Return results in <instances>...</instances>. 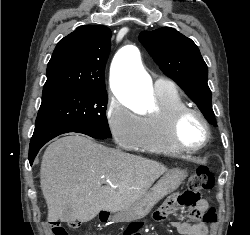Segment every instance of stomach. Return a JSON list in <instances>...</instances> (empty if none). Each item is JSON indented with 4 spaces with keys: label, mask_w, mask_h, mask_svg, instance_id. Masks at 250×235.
I'll return each mask as SVG.
<instances>
[{
    "label": "stomach",
    "mask_w": 250,
    "mask_h": 235,
    "mask_svg": "<svg viewBox=\"0 0 250 235\" xmlns=\"http://www.w3.org/2000/svg\"><path fill=\"white\" fill-rule=\"evenodd\" d=\"M186 176V172L179 168L168 171L149 191L127 210L115 215L114 219L129 222L145 217L161 199L177 190Z\"/></svg>",
    "instance_id": "stomach-1"
}]
</instances>
